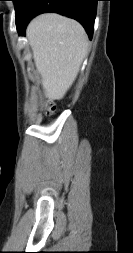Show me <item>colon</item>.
<instances>
[{"mask_svg": "<svg viewBox=\"0 0 133 253\" xmlns=\"http://www.w3.org/2000/svg\"><path fill=\"white\" fill-rule=\"evenodd\" d=\"M46 109H47L48 114L51 115L55 111L56 105L54 103L50 102L47 104Z\"/></svg>", "mask_w": 133, "mask_h": 253, "instance_id": "obj_1", "label": "colon"}]
</instances>
